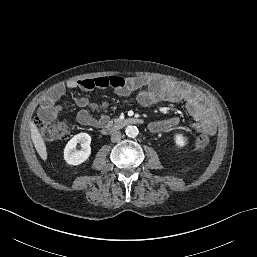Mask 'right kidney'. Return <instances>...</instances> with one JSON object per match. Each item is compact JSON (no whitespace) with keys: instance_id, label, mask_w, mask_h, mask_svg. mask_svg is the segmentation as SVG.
Here are the masks:
<instances>
[{"instance_id":"1","label":"right kidney","mask_w":257,"mask_h":257,"mask_svg":"<svg viewBox=\"0 0 257 257\" xmlns=\"http://www.w3.org/2000/svg\"><path fill=\"white\" fill-rule=\"evenodd\" d=\"M81 144L80 150L76 149ZM91 136L87 133H79L68 141L64 149V159L69 165H79L85 162L91 154Z\"/></svg>"}]
</instances>
